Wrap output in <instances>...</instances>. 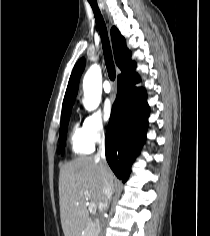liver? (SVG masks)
Returning <instances> with one entry per match:
<instances>
[{
	"mask_svg": "<svg viewBox=\"0 0 210 236\" xmlns=\"http://www.w3.org/2000/svg\"><path fill=\"white\" fill-rule=\"evenodd\" d=\"M114 174L105 164L91 157H78L60 167L59 202L64 236H81L87 219V202L103 200V178Z\"/></svg>",
	"mask_w": 210,
	"mask_h": 236,
	"instance_id": "obj_1",
	"label": "liver"
}]
</instances>
